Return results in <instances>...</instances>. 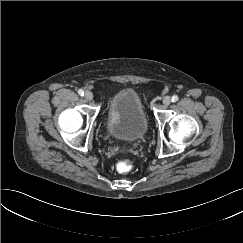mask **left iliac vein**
Instances as JSON below:
<instances>
[{"label": "left iliac vein", "instance_id": "1", "mask_svg": "<svg viewBox=\"0 0 243 243\" xmlns=\"http://www.w3.org/2000/svg\"><path fill=\"white\" fill-rule=\"evenodd\" d=\"M171 103V97L170 96H165L163 98V104L168 106Z\"/></svg>", "mask_w": 243, "mask_h": 243}]
</instances>
